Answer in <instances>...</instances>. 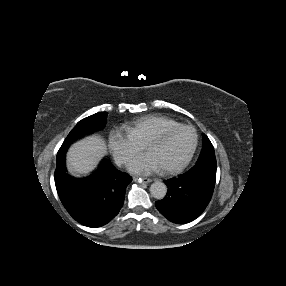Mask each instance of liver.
Listing matches in <instances>:
<instances>
[{
    "label": "liver",
    "instance_id": "obj_1",
    "mask_svg": "<svg viewBox=\"0 0 286 286\" xmlns=\"http://www.w3.org/2000/svg\"><path fill=\"white\" fill-rule=\"evenodd\" d=\"M105 153L103 141L95 136L74 143L67 154L68 168L73 173L86 174Z\"/></svg>",
    "mask_w": 286,
    "mask_h": 286
}]
</instances>
